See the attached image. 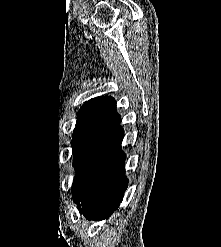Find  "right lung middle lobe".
<instances>
[{"label":"right lung middle lobe","mask_w":221,"mask_h":247,"mask_svg":"<svg viewBox=\"0 0 221 247\" xmlns=\"http://www.w3.org/2000/svg\"><path fill=\"white\" fill-rule=\"evenodd\" d=\"M79 133H80L79 130H75L74 133H73V135H72L73 139H74Z\"/></svg>","instance_id":"1"}]
</instances>
